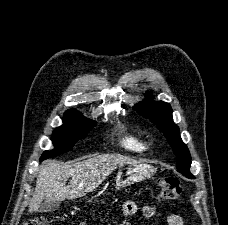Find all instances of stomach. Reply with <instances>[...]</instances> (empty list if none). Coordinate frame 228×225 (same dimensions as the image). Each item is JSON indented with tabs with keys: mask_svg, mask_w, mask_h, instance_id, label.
<instances>
[{
	"mask_svg": "<svg viewBox=\"0 0 228 225\" xmlns=\"http://www.w3.org/2000/svg\"><path fill=\"white\" fill-rule=\"evenodd\" d=\"M152 175H154V169L151 165L136 161L132 165H127L125 169H118L115 177V189H122V187H129L133 183H140V181L150 179Z\"/></svg>",
	"mask_w": 228,
	"mask_h": 225,
	"instance_id": "stomach-1",
	"label": "stomach"
}]
</instances>
